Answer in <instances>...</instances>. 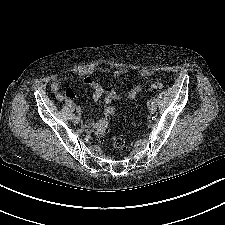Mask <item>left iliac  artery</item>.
I'll return each mask as SVG.
<instances>
[{
    "label": "left iliac artery",
    "mask_w": 225,
    "mask_h": 225,
    "mask_svg": "<svg viewBox=\"0 0 225 225\" xmlns=\"http://www.w3.org/2000/svg\"><path fill=\"white\" fill-rule=\"evenodd\" d=\"M156 102H157V99L156 98H153L152 99V103H155L156 104Z\"/></svg>",
    "instance_id": "obj_1"
}]
</instances>
